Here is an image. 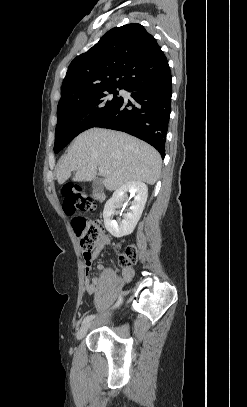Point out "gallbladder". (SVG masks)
Returning a JSON list of instances; mask_svg holds the SVG:
<instances>
[{
	"label": "gallbladder",
	"instance_id": "gallbladder-1",
	"mask_svg": "<svg viewBox=\"0 0 247 407\" xmlns=\"http://www.w3.org/2000/svg\"><path fill=\"white\" fill-rule=\"evenodd\" d=\"M92 187H93L94 191H96V192L102 191V182H101V180L100 179H95L93 181Z\"/></svg>",
	"mask_w": 247,
	"mask_h": 407
}]
</instances>
